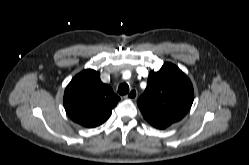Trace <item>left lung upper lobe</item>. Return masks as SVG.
<instances>
[{"mask_svg":"<svg viewBox=\"0 0 249 165\" xmlns=\"http://www.w3.org/2000/svg\"><path fill=\"white\" fill-rule=\"evenodd\" d=\"M193 99L191 81L177 66L167 62L159 71L149 73L147 87L137 104L152 126L164 129L185 116Z\"/></svg>","mask_w":249,"mask_h":165,"instance_id":"obj_1","label":"left lung upper lobe"}]
</instances>
